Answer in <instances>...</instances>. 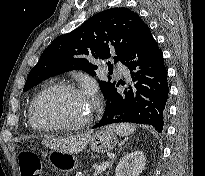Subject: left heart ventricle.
Here are the masks:
<instances>
[{
	"label": "left heart ventricle",
	"mask_w": 205,
	"mask_h": 176,
	"mask_svg": "<svg viewBox=\"0 0 205 176\" xmlns=\"http://www.w3.org/2000/svg\"><path fill=\"white\" fill-rule=\"evenodd\" d=\"M89 110L90 103L83 95L56 90L42 98L37 116L44 124H76L85 119Z\"/></svg>",
	"instance_id": "1"
}]
</instances>
